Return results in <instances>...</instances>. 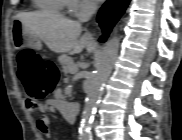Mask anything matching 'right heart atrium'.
Segmentation results:
<instances>
[{"mask_svg":"<svg viewBox=\"0 0 182 140\" xmlns=\"http://www.w3.org/2000/svg\"><path fill=\"white\" fill-rule=\"evenodd\" d=\"M93 8V5L86 0H70L68 9L75 15L88 13Z\"/></svg>","mask_w":182,"mask_h":140,"instance_id":"1","label":"right heart atrium"}]
</instances>
